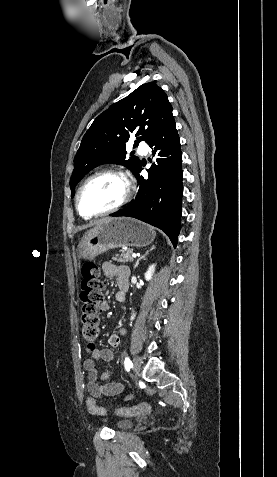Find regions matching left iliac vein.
I'll list each match as a JSON object with an SVG mask.
<instances>
[{
	"label": "left iliac vein",
	"mask_w": 277,
	"mask_h": 477,
	"mask_svg": "<svg viewBox=\"0 0 277 477\" xmlns=\"http://www.w3.org/2000/svg\"><path fill=\"white\" fill-rule=\"evenodd\" d=\"M133 362H134L135 375L137 376L139 375V372L141 369V364H142L141 358L139 356H136Z\"/></svg>",
	"instance_id": "4c4485c4"
}]
</instances>
